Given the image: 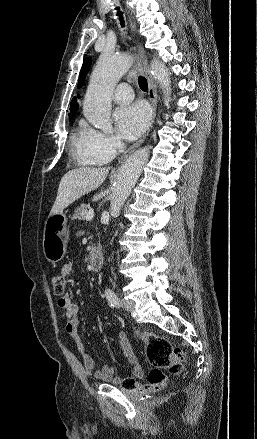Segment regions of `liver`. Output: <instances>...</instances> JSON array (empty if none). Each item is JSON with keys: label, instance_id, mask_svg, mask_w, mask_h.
I'll return each mask as SVG.
<instances>
[{"label": "liver", "instance_id": "1", "mask_svg": "<svg viewBox=\"0 0 257 439\" xmlns=\"http://www.w3.org/2000/svg\"><path fill=\"white\" fill-rule=\"evenodd\" d=\"M107 168L80 167L62 177L50 215L63 212L77 199L97 189L108 175Z\"/></svg>", "mask_w": 257, "mask_h": 439}]
</instances>
